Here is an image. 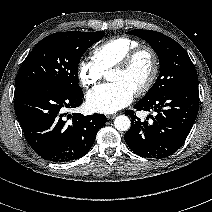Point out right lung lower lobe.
Returning a JSON list of instances; mask_svg holds the SVG:
<instances>
[{"instance_id":"obj_1","label":"right lung lower lobe","mask_w":212,"mask_h":212,"mask_svg":"<svg viewBox=\"0 0 212 212\" xmlns=\"http://www.w3.org/2000/svg\"><path fill=\"white\" fill-rule=\"evenodd\" d=\"M83 98V93L69 94L48 84L16 87L15 113L27 142L42 158L68 162L88 153L107 118L102 114L64 113L80 106Z\"/></svg>"}]
</instances>
